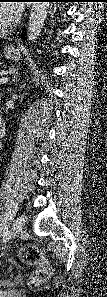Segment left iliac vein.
Segmentation results:
<instances>
[{"label": "left iliac vein", "mask_w": 107, "mask_h": 297, "mask_svg": "<svg viewBox=\"0 0 107 297\" xmlns=\"http://www.w3.org/2000/svg\"><path fill=\"white\" fill-rule=\"evenodd\" d=\"M25 225V215L21 214L19 215L13 222L11 227V235L16 236L17 234H20Z\"/></svg>", "instance_id": "obj_1"}]
</instances>
